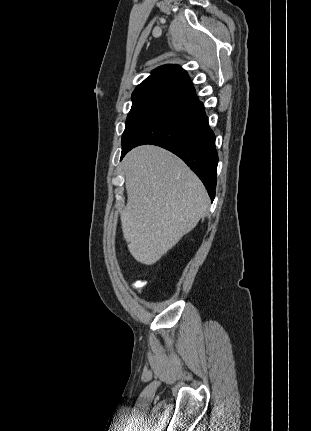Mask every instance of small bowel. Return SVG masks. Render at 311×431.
Here are the masks:
<instances>
[{
  "mask_svg": "<svg viewBox=\"0 0 311 431\" xmlns=\"http://www.w3.org/2000/svg\"><path fill=\"white\" fill-rule=\"evenodd\" d=\"M145 281H135L133 284H132V287L134 288V289H137V290H141L142 288H143V286L145 285Z\"/></svg>",
  "mask_w": 311,
  "mask_h": 431,
  "instance_id": "obj_1",
  "label": "small bowel"
}]
</instances>
